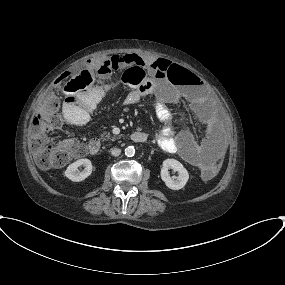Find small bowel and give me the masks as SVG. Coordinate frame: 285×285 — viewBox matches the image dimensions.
<instances>
[{"label":"small bowel","instance_id":"small-bowel-1","mask_svg":"<svg viewBox=\"0 0 285 285\" xmlns=\"http://www.w3.org/2000/svg\"><path fill=\"white\" fill-rule=\"evenodd\" d=\"M156 60L153 58L145 61L148 65V72L154 82L166 84L168 77L158 67L153 66ZM124 61L137 63L136 60L129 58V55ZM178 68L185 69L180 66ZM188 72L190 77L187 81L190 83V86H193L195 74L191 71ZM111 89V82L98 78L79 91L68 92L63 104L64 117L72 125L85 123L90 117L87 108L97 107L103 98L110 93ZM151 89L146 87L143 91L131 90L125 96L124 102L128 105L136 104L143 97L149 95ZM152 101L156 110V116L163 123V126L155 136L156 143L161 149L170 153H180L183 145L182 157L187 162L200 168L212 165L223 154L225 147L224 137L209 119L203 121L205 137L202 140H197L193 133L178 135L174 127L175 117L169 104L156 96H153Z\"/></svg>","mask_w":285,"mask_h":285}]
</instances>
